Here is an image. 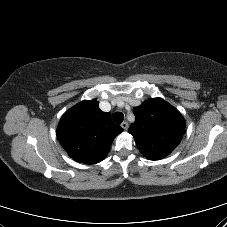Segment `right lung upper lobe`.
I'll use <instances>...</instances> for the list:
<instances>
[{
  "label": "right lung upper lobe",
  "instance_id": "1",
  "mask_svg": "<svg viewBox=\"0 0 227 227\" xmlns=\"http://www.w3.org/2000/svg\"><path fill=\"white\" fill-rule=\"evenodd\" d=\"M98 104L95 99L84 100L66 111L58 124V140L77 162H101L114 138L123 131L112 122L110 113L101 111Z\"/></svg>",
  "mask_w": 227,
  "mask_h": 227
}]
</instances>
